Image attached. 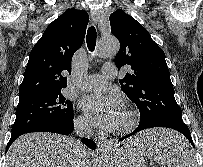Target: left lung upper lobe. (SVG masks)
<instances>
[{
  "label": "left lung upper lobe",
  "mask_w": 203,
  "mask_h": 167,
  "mask_svg": "<svg viewBox=\"0 0 203 167\" xmlns=\"http://www.w3.org/2000/svg\"><path fill=\"white\" fill-rule=\"evenodd\" d=\"M111 32L120 42L115 64L129 66L119 82L121 89L140 111V126L183 122L176 103L164 51L149 32L123 10L110 15Z\"/></svg>",
  "instance_id": "5c2ea615"
}]
</instances>
